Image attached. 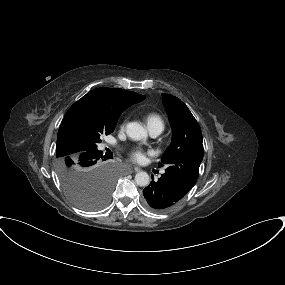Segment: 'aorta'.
Returning a JSON list of instances; mask_svg holds the SVG:
<instances>
[{
  "mask_svg": "<svg viewBox=\"0 0 285 285\" xmlns=\"http://www.w3.org/2000/svg\"><path fill=\"white\" fill-rule=\"evenodd\" d=\"M127 135L134 140H145L147 138V129L138 122H130L126 127ZM135 182L138 186H147L150 182L148 173L138 172L135 175Z\"/></svg>",
  "mask_w": 285,
  "mask_h": 285,
  "instance_id": "1",
  "label": "aorta"
}]
</instances>
